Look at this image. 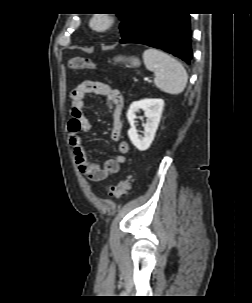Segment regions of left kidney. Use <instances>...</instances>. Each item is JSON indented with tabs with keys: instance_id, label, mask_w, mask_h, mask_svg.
I'll return each instance as SVG.
<instances>
[{
	"instance_id": "5707ae66",
	"label": "left kidney",
	"mask_w": 252,
	"mask_h": 303,
	"mask_svg": "<svg viewBox=\"0 0 252 303\" xmlns=\"http://www.w3.org/2000/svg\"><path fill=\"white\" fill-rule=\"evenodd\" d=\"M164 107V101L162 99H143L140 101H134L127 112V119L130 124L128 130V136L132 144L140 151L147 150L152 141L154 140L156 130L161 119L162 111ZM142 109L144 115L147 118L144 127V137H140L135 126V113Z\"/></svg>"
}]
</instances>
